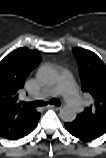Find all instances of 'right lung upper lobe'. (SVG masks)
I'll list each match as a JSON object with an SVG mask.
<instances>
[{
	"instance_id": "obj_1",
	"label": "right lung upper lobe",
	"mask_w": 106,
	"mask_h": 158,
	"mask_svg": "<svg viewBox=\"0 0 106 158\" xmlns=\"http://www.w3.org/2000/svg\"><path fill=\"white\" fill-rule=\"evenodd\" d=\"M40 60L37 50L23 47L14 50L0 62V135L4 138L22 137L41 116L18 99L26 78Z\"/></svg>"
}]
</instances>
